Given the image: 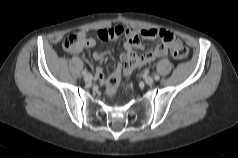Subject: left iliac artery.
Returning <instances> with one entry per match:
<instances>
[{
  "mask_svg": "<svg viewBox=\"0 0 238 158\" xmlns=\"http://www.w3.org/2000/svg\"><path fill=\"white\" fill-rule=\"evenodd\" d=\"M154 78L156 81H158L160 79L159 75H157V74L154 76Z\"/></svg>",
  "mask_w": 238,
  "mask_h": 158,
  "instance_id": "1",
  "label": "left iliac artery"
}]
</instances>
